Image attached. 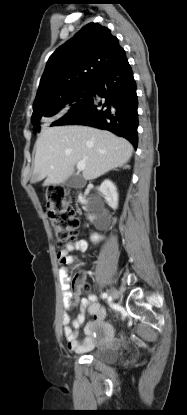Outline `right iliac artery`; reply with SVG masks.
<instances>
[{
    "mask_svg": "<svg viewBox=\"0 0 187 415\" xmlns=\"http://www.w3.org/2000/svg\"><path fill=\"white\" fill-rule=\"evenodd\" d=\"M101 297H102L103 299H106V298L108 297V294H107V293H103V294L101 295Z\"/></svg>",
    "mask_w": 187,
    "mask_h": 415,
    "instance_id": "right-iliac-artery-1",
    "label": "right iliac artery"
}]
</instances>
